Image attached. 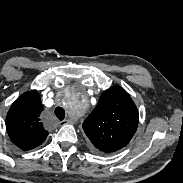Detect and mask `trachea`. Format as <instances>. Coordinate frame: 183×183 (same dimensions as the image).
I'll return each instance as SVG.
<instances>
[{
    "label": "trachea",
    "instance_id": "obj_1",
    "mask_svg": "<svg viewBox=\"0 0 183 183\" xmlns=\"http://www.w3.org/2000/svg\"><path fill=\"white\" fill-rule=\"evenodd\" d=\"M55 115L59 120L62 121L65 118V110L62 107H56Z\"/></svg>",
    "mask_w": 183,
    "mask_h": 183
}]
</instances>
